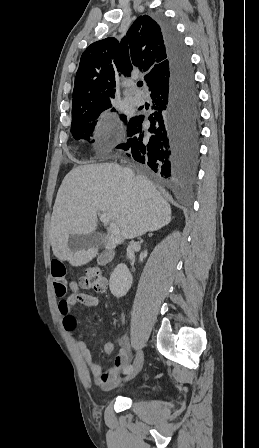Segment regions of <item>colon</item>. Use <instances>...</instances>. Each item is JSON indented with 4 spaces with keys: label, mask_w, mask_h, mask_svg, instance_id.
Segmentation results:
<instances>
[{
    "label": "colon",
    "mask_w": 259,
    "mask_h": 448,
    "mask_svg": "<svg viewBox=\"0 0 259 448\" xmlns=\"http://www.w3.org/2000/svg\"><path fill=\"white\" fill-rule=\"evenodd\" d=\"M82 288L90 291L102 293L107 288V281L101 271L96 267L86 269L80 280Z\"/></svg>",
    "instance_id": "colon-1"
}]
</instances>
